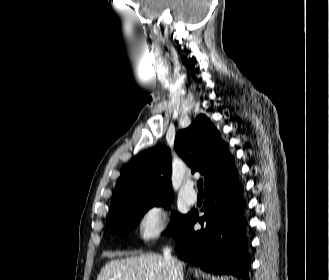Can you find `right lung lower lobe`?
Listing matches in <instances>:
<instances>
[{
	"label": "right lung lower lobe",
	"mask_w": 329,
	"mask_h": 280,
	"mask_svg": "<svg viewBox=\"0 0 329 280\" xmlns=\"http://www.w3.org/2000/svg\"><path fill=\"white\" fill-rule=\"evenodd\" d=\"M243 206L242 186L233 165L205 186L202 208L205 215L199 219L202 229L194 230L198 215L191 211L173 234L179 258L208 272L231 274L248 280L250 261L244 234Z\"/></svg>",
	"instance_id": "1"
}]
</instances>
